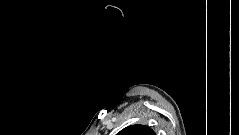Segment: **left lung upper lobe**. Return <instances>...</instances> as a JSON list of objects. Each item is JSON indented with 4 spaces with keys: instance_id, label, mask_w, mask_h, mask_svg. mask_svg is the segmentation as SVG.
Returning <instances> with one entry per match:
<instances>
[{
    "instance_id": "1",
    "label": "left lung upper lobe",
    "mask_w": 239,
    "mask_h": 135,
    "mask_svg": "<svg viewBox=\"0 0 239 135\" xmlns=\"http://www.w3.org/2000/svg\"><path fill=\"white\" fill-rule=\"evenodd\" d=\"M117 135H156L155 132L148 126L145 125H131L120 132Z\"/></svg>"
}]
</instances>
